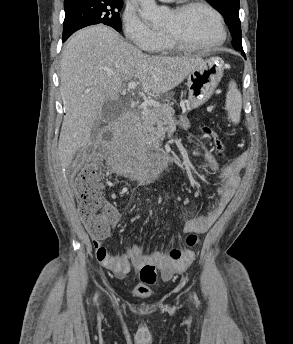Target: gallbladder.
<instances>
[{
    "mask_svg": "<svg viewBox=\"0 0 293 344\" xmlns=\"http://www.w3.org/2000/svg\"><path fill=\"white\" fill-rule=\"evenodd\" d=\"M120 105L118 101L111 100L104 104L100 111V117L104 120H113L120 114Z\"/></svg>",
    "mask_w": 293,
    "mask_h": 344,
    "instance_id": "gallbladder-1",
    "label": "gallbladder"
}]
</instances>
